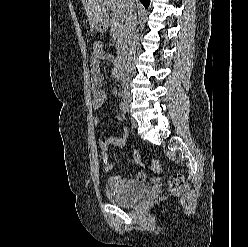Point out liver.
<instances>
[{"mask_svg": "<svg viewBox=\"0 0 248 247\" xmlns=\"http://www.w3.org/2000/svg\"><path fill=\"white\" fill-rule=\"evenodd\" d=\"M82 3L89 20L90 30H93L108 10L123 13L125 0H82Z\"/></svg>", "mask_w": 248, "mask_h": 247, "instance_id": "6515ba94", "label": "liver"}]
</instances>
